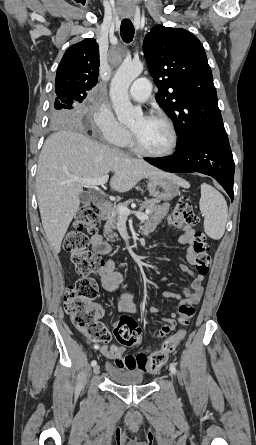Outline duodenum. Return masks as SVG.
I'll list each match as a JSON object with an SVG mask.
<instances>
[{
	"mask_svg": "<svg viewBox=\"0 0 256 445\" xmlns=\"http://www.w3.org/2000/svg\"><path fill=\"white\" fill-rule=\"evenodd\" d=\"M99 207H100V216L101 217L106 216L109 212L108 204H101Z\"/></svg>",
	"mask_w": 256,
	"mask_h": 445,
	"instance_id": "1",
	"label": "duodenum"
}]
</instances>
